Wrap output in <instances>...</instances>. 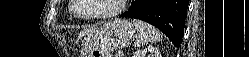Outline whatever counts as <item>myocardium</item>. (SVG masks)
Returning <instances> with one entry per match:
<instances>
[{
	"mask_svg": "<svg viewBox=\"0 0 249 57\" xmlns=\"http://www.w3.org/2000/svg\"><path fill=\"white\" fill-rule=\"evenodd\" d=\"M127 0H119L118 6L109 12L105 13H98V14H91V15H82L79 13V9L82 7V1L81 0H72L73 6H72V13L73 15L82 20H96V19H107L114 17L118 14H120L125 6H126Z\"/></svg>",
	"mask_w": 249,
	"mask_h": 57,
	"instance_id": "obj_1",
	"label": "myocardium"
}]
</instances>
